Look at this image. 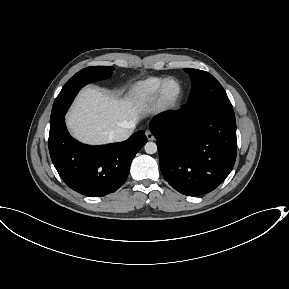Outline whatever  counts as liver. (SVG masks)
Masks as SVG:
<instances>
[{
	"mask_svg": "<svg viewBox=\"0 0 289 289\" xmlns=\"http://www.w3.org/2000/svg\"><path fill=\"white\" fill-rule=\"evenodd\" d=\"M144 111L143 103L135 98L117 99L99 88L86 87L73 103L66 123L80 142L105 144L111 142V131L128 123L135 125Z\"/></svg>",
	"mask_w": 289,
	"mask_h": 289,
	"instance_id": "6515ba94",
	"label": "liver"
}]
</instances>
